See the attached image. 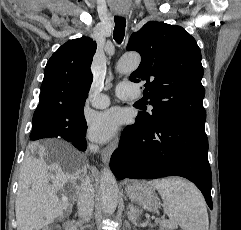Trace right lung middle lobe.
Here are the masks:
<instances>
[{"label": "right lung middle lobe", "mask_w": 241, "mask_h": 230, "mask_svg": "<svg viewBox=\"0 0 241 230\" xmlns=\"http://www.w3.org/2000/svg\"><path fill=\"white\" fill-rule=\"evenodd\" d=\"M84 106L76 108H59L50 110L40 115L33 116V126L37 127L30 134L31 140L56 137L52 133L63 135L82 136L87 127L83 112Z\"/></svg>", "instance_id": "dd1d6c3e"}]
</instances>
